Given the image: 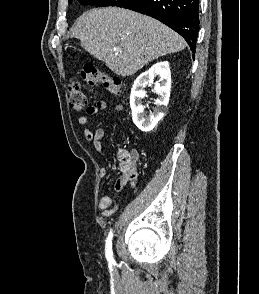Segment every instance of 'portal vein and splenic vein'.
Masks as SVG:
<instances>
[{
	"mask_svg": "<svg viewBox=\"0 0 259 294\" xmlns=\"http://www.w3.org/2000/svg\"><path fill=\"white\" fill-rule=\"evenodd\" d=\"M116 50H117V51H121V48H120V47H117Z\"/></svg>",
	"mask_w": 259,
	"mask_h": 294,
	"instance_id": "portal-vein-and-splenic-vein-1",
	"label": "portal vein and splenic vein"
}]
</instances>
